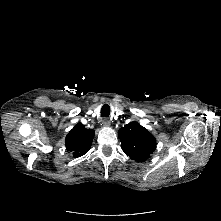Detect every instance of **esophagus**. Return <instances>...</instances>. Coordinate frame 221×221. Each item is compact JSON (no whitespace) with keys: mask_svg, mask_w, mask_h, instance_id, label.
Here are the masks:
<instances>
[{"mask_svg":"<svg viewBox=\"0 0 221 221\" xmlns=\"http://www.w3.org/2000/svg\"><path fill=\"white\" fill-rule=\"evenodd\" d=\"M102 124L104 127H110L111 121L108 118H104Z\"/></svg>","mask_w":221,"mask_h":221,"instance_id":"34e87169","label":"esophagus"}]
</instances>
